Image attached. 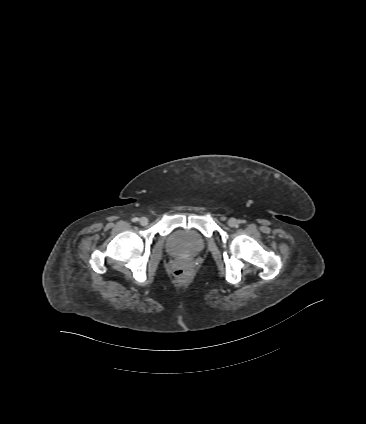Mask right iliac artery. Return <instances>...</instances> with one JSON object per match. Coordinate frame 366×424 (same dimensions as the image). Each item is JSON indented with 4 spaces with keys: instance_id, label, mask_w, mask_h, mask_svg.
Returning a JSON list of instances; mask_svg holds the SVG:
<instances>
[{
    "instance_id": "obj_1",
    "label": "right iliac artery",
    "mask_w": 366,
    "mask_h": 424,
    "mask_svg": "<svg viewBox=\"0 0 366 424\" xmlns=\"http://www.w3.org/2000/svg\"><path fill=\"white\" fill-rule=\"evenodd\" d=\"M132 221L133 222H138L139 221V218L135 217V218L132 219Z\"/></svg>"
}]
</instances>
